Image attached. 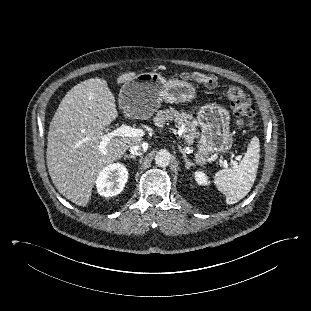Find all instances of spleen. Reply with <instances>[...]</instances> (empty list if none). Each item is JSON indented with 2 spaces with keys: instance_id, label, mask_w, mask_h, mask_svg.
I'll list each match as a JSON object with an SVG mask.
<instances>
[{
  "instance_id": "obj_1",
  "label": "spleen",
  "mask_w": 311,
  "mask_h": 311,
  "mask_svg": "<svg viewBox=\"0 0 311 311\" xmlns=\"http://www.w3.org/2000/svg\"><path fill=\"white\" fill-rule=\"evenodd\" d=\"M260 158V143L255 136L251 139L247 152L239 165L218 171L214 183L226 196L227 204H235L251 190L257 175Z\"/></svg>"
}]
</instances>
